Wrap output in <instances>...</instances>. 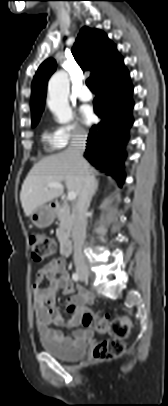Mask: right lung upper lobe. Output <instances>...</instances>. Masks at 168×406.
Wrapping results in <instances>:
<instances>
[{
  "label": "right lung upper lobe",
  "mask_w": 168,
  "mask_h": 406,
  "mask_svg": "<svg viewBox=\"0 0 168 406\" xmlns=\"http://www.w3.org/2000/svg\"><path fill=\"white\" fill-rule=\"evenodd\" d=\"M72 53L83 70L91 71L95 84L124 66L116 46L97 29L82 28ZM55 70L56 61L49 58L40 65L34 76L31 95L32 122L39 121L44 109L47 81Z\"/></svg>",
  "instance_id": "obj_1"
}]
</instances>
